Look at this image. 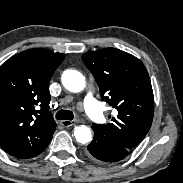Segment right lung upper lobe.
<instances>
[{"mask_svg": "<svg viewBox=\"0 0 183 183\" xmlns=\"http://www.w3.org/2000/svg\"><path fill=\"white\" fill-rule=\"evenodd\" d=\"M65 54L29 49L0 67V146L19 159L37 156L56 128L49 82Z\"/></svg>", "mask_w": 183, "mask_h": 183, "instance_id": "obj_1", "label": "right lung upper lobe"}]
</instances>
